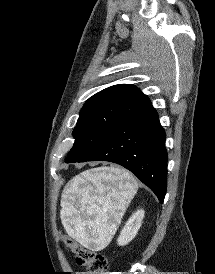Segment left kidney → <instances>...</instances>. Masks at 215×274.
I'll return each instance as SVG.
<instances>
[{"instance_id":"1","label":"left kidney","mask_w":215,"mask_h":274,"mask_svg":"<svg viewBox=\"0 0 215 274\" xmlns=\"http://www.w3.org/2000/svg\"><path fill=\"white\" fill-rule=\"evenodd\" d=\"M144 214L145 212L142 209L137 210L135 213L132 214V216L126 222L125 226L123 227L120 233V236L117 239L118 245H127L130 241H132L135 238L136 234L138 233V230L141 227ZM67 231H69V228H67Z\"/></svg>"}]
</instances>
